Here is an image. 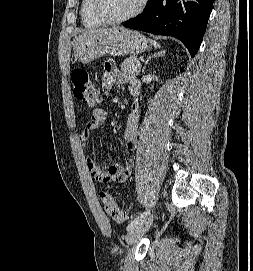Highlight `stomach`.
<instances>
[{"label":"stomach","mask_w":253,"mask_h":271,"mask_svg":"<svg viewBox=\"0 0 253 271\" xmlns=\"http://www.w3.org/2000/svg\"><path fill=\"white\" fill-rule=\"evenodd\" d=\"M149 48L145 36L136 30L124 28L93 32L74 42V56L89 63L101 56H124L141 53Z\"/></svg>","instance_id":"stomach-1"}]
</instances>
